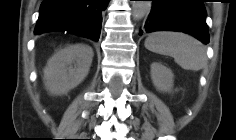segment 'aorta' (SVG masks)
<instances>
[{
  "label": "aorta",
  "instance_id": "obj_1",
  "mask_svg": "<svg viewBox=\"0 0 236 140\" xmlns=\"http://www.w3.org/2000/svg\"><path fill=\"white\" fill-rule=\"evenodd\" d=\"M151 1H133L132 2V14L134 19H142L151 10Z\"/></svg>",
  "mask_w": 236,
  "mask_h": 140
}]
</instances>
